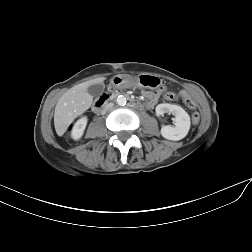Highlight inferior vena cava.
Listing matches in <instances>:
<instances>
[{
  "mask_svg": "<svg viewBox=\"0 0 252 252\" xmlns=\"http://www.w3.org/2000/svg\"><path fill=\"white\" fill-rule=\"evenodd\" d=\"M112 106H113V104L109 103V104L106 105V108H111Z\"/></svg>",
  "mask_w": 252,
  "mask_h": 252,
  "instance_id": "1",
  "label": "inferior vena cava"
}]
</instances>
